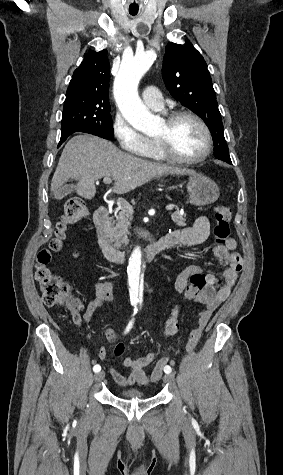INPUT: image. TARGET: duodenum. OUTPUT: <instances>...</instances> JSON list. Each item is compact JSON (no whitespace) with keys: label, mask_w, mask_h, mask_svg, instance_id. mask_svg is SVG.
<instances>
[{"label":"duodenum","mask_w":283,"mask_h":475,"mask_svg":"<svg viewBox=\"0 0 283 475\" xmlns=\"http://www.w3.org/2000/svg\"><path fill=\"white\" fill-rule=\"evenodd\" d=\"M94 226L96 231L97 242L102 253L111 262L121 263L126 260V254L112 245L108 237L110 226V213L105 207H101L95 211ZM171 246V242L167 235L149 244L142 252L146 261H150L157 254Z\"/></svg>","instance_id":"duodenum-1"}]
</instances>
